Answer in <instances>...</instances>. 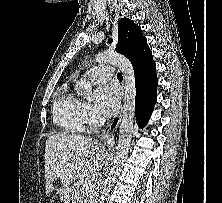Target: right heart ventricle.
I'll return each instance as SVG.
<instances>
[{
  "mask_svg": "<svg viewBox=\"0 0 222 203\" xmlns=\"http://www.w3.org/2000/svg\"><path fill=\"white\" fill-rule=\"evenodd\" d=\"M83 106L84 103L71 92L69 86H64L54 101V122L65 132H82L85 127Z\"/></svg>",
  "mask_w": 222,
  "mask_h": 203,
  "instance_id": "1",
  "label": "right heart ventricle"
}]
</instances>
